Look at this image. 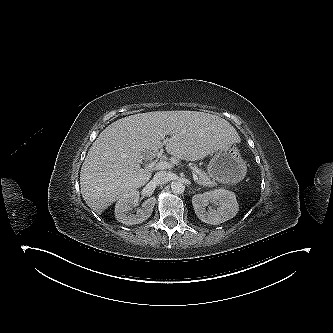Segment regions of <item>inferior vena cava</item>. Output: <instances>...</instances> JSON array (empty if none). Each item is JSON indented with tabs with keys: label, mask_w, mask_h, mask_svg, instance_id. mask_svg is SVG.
<instances>
[{
	"label": "inferior vena cava",
	"mask_w": 333,
	"mask_h": 333,
	"mask_svg": "<svg viewBox=\"0 0 333 333\" xmlns=\"http://www.w3.org/2000/svg\"><path fill=\"white\" fill-rule=\"evenodd\" d=\"M171 179H172L171 173L166 171H159L154 175L153 182L156 185H163L171 181Z\"/></svg>",
	"instance_id": "1"
}]
</instances>
